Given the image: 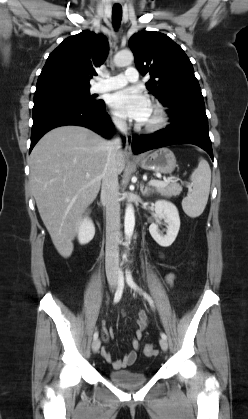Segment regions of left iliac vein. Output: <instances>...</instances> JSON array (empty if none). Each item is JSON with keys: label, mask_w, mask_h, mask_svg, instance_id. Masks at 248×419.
Instances as JSON below:
<instances>
[{"label": "left iliac vein", "mask_w": 248, "mask_h": 419, "mask_svg": "<svg viewBox=\"0 0 248 419\" xmlns=\"http://www.w3.org/2000/svg\"><path fill=\"white\" fill-rule=\"evenodd\" d=\"M159 344H160V347H161V349H162L163 351H167V349H168V342H167V340H166V339L161 338V339L159 340Z\"/></svg>", "instance_id": "1"}]
</instances>
